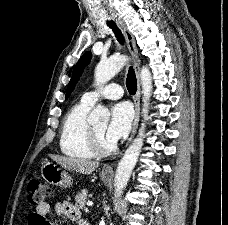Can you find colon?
<instances>
[{"label":"colon","instance_id":"colon-1","mask_svg":"<svg viewBox=\"0 0 228 225\" xmlns=\"http://www.w3.org/2000/svg\"><path fill=\"white\" fill-rule=\"evenodd\" d=\"M49 195V187L38 177H34L28 184V204L31 208L43 204L45 197Z\"/></svg>","mask_w":228,"mask_h":225}]
</instances>
